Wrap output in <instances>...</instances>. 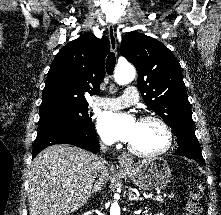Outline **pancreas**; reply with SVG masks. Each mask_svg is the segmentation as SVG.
Here are the masks:
<instances>
[{"instance_id": "1", "label": "pancreas", "mask_w": 221, "mask_h": 215, "mask_svg": "<svg viewBox=\"0 0 221 215\" xmlns=\"http://www.w3.org/2000/svg\"><path fill=\"white\" fill-rule=\"evenodd\" d=\"M159 201V203H163V200H158Z\"/></svg>"}]
</instances>
